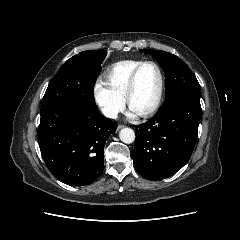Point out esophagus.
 Listing matches in <instances>:
<instances>
[{
    "label": "esophagus",
    "instance_id": "34e87169",
    "mask_svg": "<svg viewBox=\"0 0 240 240\" xmlns=\"http://www.w3.org/2000/svg\"><path fill=\"white\" fill-rule=\"evenodd\" d=\"M123 127H124L123 125H118L117 131H119V130L122 129Z\"/></svg>",
    "mask_w": 240,
    "mask_h": 240
}]
</instances>
